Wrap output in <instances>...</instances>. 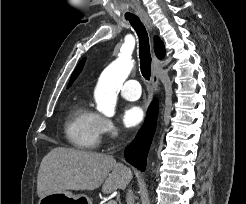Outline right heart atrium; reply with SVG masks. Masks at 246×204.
I'll list each match as a JSON object with an SVG mask.
<instances>
[{"label": "right heart atrium", "instance_id": "d8ad5b80", "mask_svg": "<svg viewBox=\"0 0 246 204\" xmlns=\"http://www.w3.org/2000/svg\"><path fill=\"white\" fill-rule=\"evenodd\" d=\"M102 134H105L111 138H115L118 135V129L108 118H102Z\"/></svg>", "mask_w": 246, "mask_h": 204}]
</instances>
